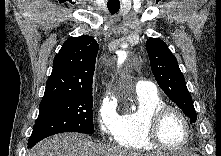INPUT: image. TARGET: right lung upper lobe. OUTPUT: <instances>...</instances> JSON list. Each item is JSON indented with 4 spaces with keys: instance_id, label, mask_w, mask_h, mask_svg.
Instances as JSON below:
<instances>
[{
    "instance_id": "obj_1",
    "label": "right lung upper lobe",
    "mask_w": 221,
    "mask_h": 156,
    "mask_svg": "<svg viewBox=\"0 0 221 156\" xmlns=\"http://www.w3.org/2000/svg\"><path fill=\"white\" fill-rule=\"evenodd\" d=\"M98 43L82 35L65 41L54 57L43 98L70 96L92 90Z\"/></svg>"
}]
</instances>
